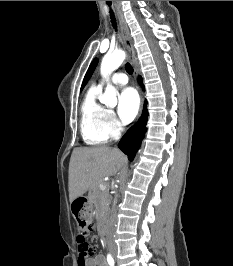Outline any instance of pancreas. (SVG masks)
Instances as JSON below:
<instances>
[{"mask_svg":"<svg viewBox=\"0 0 233 266\" xmlns=\"http://www.w3.org/2000/svg\"><path fill=\"white\" fill-rule=\"evenodd\" d=\"M89 199L101 212H105L108 206V190H101L99 182L89 191Z\"/></svg>","mask_w":233,"mask_h":266,"instance_id":"cf45deb5","label":"pancreas"}]
</instances>
